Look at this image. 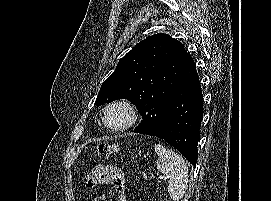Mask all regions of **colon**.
Masks as SVG:
<instances>
[{
	"instance_id": "5ec220e1",
	"label": "colon",
	"mask_w": 271,
	"mask_h": 201,
	"mask_svg": "<svg viewBox=\"0 0 271 201\" xmlns=\"http://www.w3.org/2000/svg\"><path fill=\"white\" fill-rule=\"evenodd\" d=\"M117 151L118 146L116 144L101 143L97 146L96 155L101 159H106Z\"/></svg>"
}]
</instances>
